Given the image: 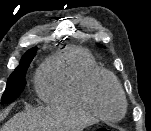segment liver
I'll return each mask as SVG.
<instances>
[{"instance_id": "liver-1", "label": "liver", "mask_w": 151, "mask_h": 131, "mask_svg": "<svg viewBox=\"0 0 151 131\" xmlns=\"http://www.w3.org/2000/svg\"><path fill=\"white\" fill-rule=\"evenodd\" d=\"M95 122L87 114L63 108H46L20 112L1 131H82Z\"/></svg>"}]
</instances>
